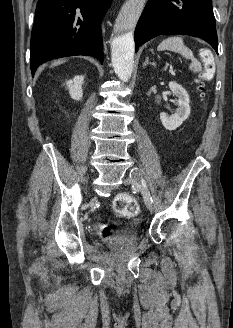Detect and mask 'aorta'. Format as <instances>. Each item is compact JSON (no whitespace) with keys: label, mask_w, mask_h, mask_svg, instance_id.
I'll return each instance as SVG.
<instances>
[{"label":"aorta","mask_w":233,"mask_h":328,"mask_svg":"<svg viewBox=\"0 0 233 328\" xmlns=\"http://www.w3.org/2000/svg\"><path fill=\"white\" fill-rule=\"evenodd\" d=\"M146 0H127L121 8L111 41L112 65L118 78L124 82L131 78L134 67L133 29L143 12Z\"/></svg>","instance_id":"1"}]
</instances>
